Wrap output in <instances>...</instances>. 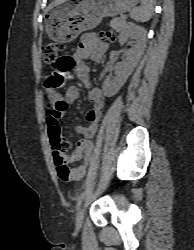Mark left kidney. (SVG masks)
Segmentation results:
<instances>
[{"label":"left kidney","instance_id":"obj_1","mask_svg":"<svg viewBox=\"0 0 194 250\" xmlns=\"http://www.w3.org/2000/svg\"><path fill=\"white\" fill-rule=\"evenodd\" d=\"M146 35L145 28L132 22L124 26L119 35V43L123 45L128 39H134L135 42L133 47L126 52L125 61L118 66L116 77L104 84V90L112 87L113 93H115L123 86L144 53L147 41Z\"/></svg>","mask_w":194,"mask_h":250}]
</instances>
